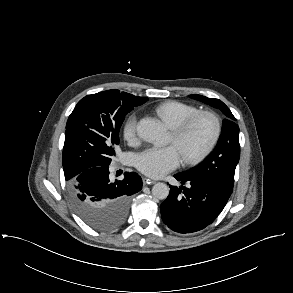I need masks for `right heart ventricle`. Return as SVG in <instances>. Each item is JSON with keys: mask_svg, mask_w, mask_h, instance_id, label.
Returning a JSON list of instances; mask_svg holds the SVG:
<instances>
[{"mask_svg": "<svg viewBox=\"0 0 293 293\" xmlns=\"http://www.w3.org/2000/svg\"><path fill=\"white\" fill-rule=\"evenodd\" d=\"M155 111L170 128H173L200 112V109L192 104L171 100L158 104Z\"/></svg>", "mask_w": 293, "mask_h": 293, "instance_id": "e07e8e85", "label": "right heart ventricle"}]
</instances>
